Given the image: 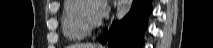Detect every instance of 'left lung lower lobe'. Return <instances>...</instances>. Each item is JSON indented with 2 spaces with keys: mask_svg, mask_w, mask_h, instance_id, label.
I'll return each mask as SVG.
<instances>
[{
  "mask_svg": "<svg viewBox=\"0 0 213 48\" xmlns=\"http://www.w3.org/2000/svg\"><path fill=\"white\" fill-rule=\"evenodd\" d=\"M150 12L151 0H134L125 18L120 23H113L109 33L104 32L98 40L108 43L109 48H141Z\"/></svg>",
  "mask_w": 213,
  "mask_h": 48,
  "instance_id": "obj_1",
  "label": "left lung lower lobe"
}]
</instances>
